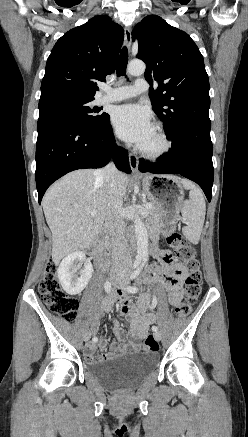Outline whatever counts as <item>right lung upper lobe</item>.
I'll return each mask as SVG.
<instances>
[{
    "instance_id": "1",
    "label": "right lung upper lobe",
    "mask_w": 248,
    "mask_h": 437,
    "mask_svg": "<svg viewBox=\"0 0 248 437\" xmlns=\"http://www.w3.org/2000/svg\"><path fill=\"white\" fill-rule=\"evenodd\" d=\"M123 28L96 16L58 39L48 57L41 96L63 92L94 99L97 81L115 71Z\"/></svg>"
}]
</instances>
